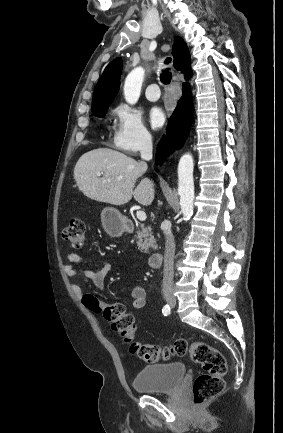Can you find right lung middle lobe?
I'll return each mask as SVG.
<instances>
[{"label": "right lung middle lobe", "instance_id": "obj_1", "mask_svg": "<svg viewBox=\"0 0 283 433\" xmlns=\"http://www.w3.org/2000/svg\"><path fill=\"white\" fill-rule=\"evenodd\" d=\"M108 107L109 106H106V107H102V108H99L97 110L92 111L93 116L103 117L106 114V111L108 110Z\"/></svg>", "mask_w": 283, "mask_h": 433}]
</instances>
